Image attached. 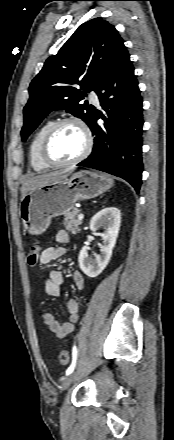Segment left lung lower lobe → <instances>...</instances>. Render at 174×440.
I'll return each mask as SVG.
<instances>
[{
  "label": "left lung lower lobe",
  "mask_w": 174,
  "mask_h": 440,
  "mask_svg": "<svg viewBox=\"0 0 174 440\" xmlns=\"http://www.w3.org/2000/svg\"><path fill=\"white\" fill-rule=\"evenodd\" d=\"M96 93L105 115L94 111L88 123L95 135L94 148L78 166L121 177L139 192L143 171L142 98L126 48L107 70ZM99 118L104 125L97 124Z\"/></svg>",
  "instance_id": "obj_1"
}]
</instances>
